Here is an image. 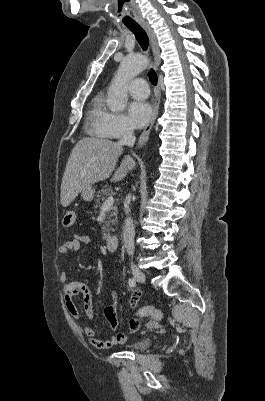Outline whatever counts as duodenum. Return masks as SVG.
I'll use <instances>...</instances> for the list:
<instances>
[{
	"mask_svg": "<svg viewBox=\"0 0 265 401\" xmlns=\"http://www.w3.org/2000/svg\"><path fill=\"white\" fill-rule=\"evenodd\" d=\"M118 247V238L116 236H109L106 239V248L110 252L116 251Z\"/></svg>",
	"mask_w": 265,
	"mask_h": 401,
	"instance_id": "1",
	"label": "duodenum"
}]
</instances>
